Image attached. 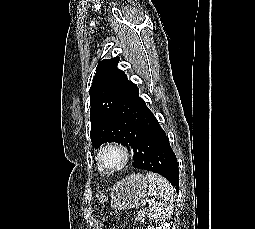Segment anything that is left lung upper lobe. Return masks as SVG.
<instances>
[{"instance_id":"1","label":"left lung upper lobe","mask_w":255,"mask_h":229,"mask_svg":"<svg viewBox=\"0 0 255 229\" xmlns=\"http://www.w3.org/2000/svg\"><path fill=\"white\" fill-rule=\"evenodd\" d=\"M118 62L119 57L100 61L89 91L90 135L97 148L105 142L130 145L129 137L119 127L120 118L115 114L133 83L117 68Z\"/></svg>"}]
</instances>
